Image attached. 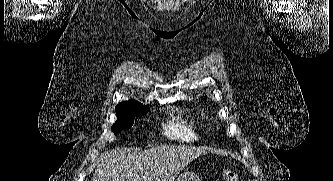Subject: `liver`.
Segmentation results:
<instances>
[{
	"label": "liver",
	"instance_id": "6515ba94",
	"mask_svg": "<svg viewBox=\"0 0 333 181\" xmlns=\"http://www.w3.org/2000/svg\"><path fill=\"white\" fill-rule=\"evenodd\" d=\"M206 153L204 148L183 145L111 150L101 154L91 181H174L192 160Z\"/></svg>",
	"mask_w": 333,
	"mask_h": 181
}]
</instances>
